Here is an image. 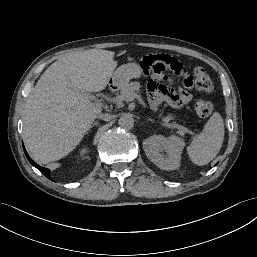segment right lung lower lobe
<instances>
[{
    "label": "right lung lower lobe",
    "instance_id": "1",
    "mask_svg": "<svg viewBox=\"0 0 257 257\" xmlns=\"http://www.w3.org/2000/svg\"><path fill=\"white\" fill-rule=\"evenodd\" d=\"M24 152H25L26 157L28 158L29 162H30L34 167H36L43 175H45L48 179L52 180L51 177H50V170L47 169V168H43V167L39 166L38 164H36V163L29 157V155L27 154L25 148H24Z\"/></svg>",
    "mask_w": 257,
    "mask_h": 257
}]
</instances>
